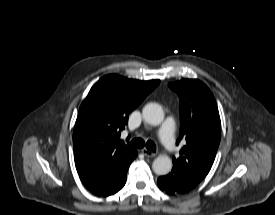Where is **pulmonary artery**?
<instances>
[{
    "label": "pulmonary artery",
    "mask_w": 275,
    "mask_h": 215,
    "mask_svg": "<svg viewBox=\"0 0 275 215\" xmlns=\"http://www.w3.org/2000/svg\"><path fill=\"white\" fill-rule=\"evenodd\" d=\"M174 128V120L172 118H168L158 131L160 141L169 153L174 152L176 148L174 141Z\"/></svg>",
    "instance_id": "pulmonary-artery-1"
}]
</instances>
